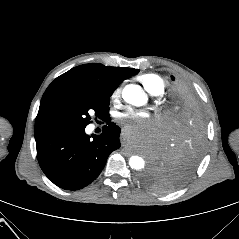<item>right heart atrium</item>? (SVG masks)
I'll use <instances>...</instances> for the list:
<instances>
[{
	"label": "right heart atrium",
	"instance_id": "d8ad5b80",
	"mask_svg": "<svg viewBox=\"0 0 239 239\" xmlns=\"http://www.w3.org/2000/svg\"><path fill=\"white\" fill-rule=\"evenodd\" d=\"M121 96V87L117 86L116 88L113 89L111 95H110V99L112 101H117Z\"/></svg>",
	"mask_w": 239,
	"mask_h": 239
}]
</instances>
